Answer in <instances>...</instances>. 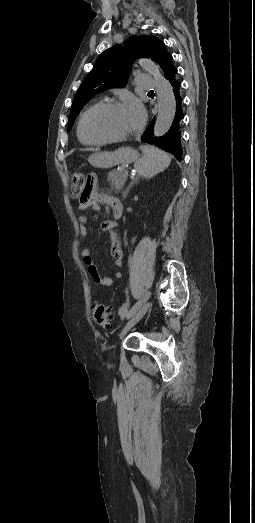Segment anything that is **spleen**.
Wrapping results in <instances>:
<instances>
[{
    "label": "spleen",
    "mask_w": 255,
    "mask_h": 523,
    "mask_svg": "<svg viewBox=\"0 0 255 523\" xmlns=\"http://www.w3.org/2000/svg\"><path fill=\"white\" fill-rule=\"evenodd\" d=\"M140 150H142L143 156L134 164L138 176L153 178L170 166L171 158L167 152L154 148V146H140Z\"/></svg>",
    "instance_id": "obj_1"
}]
</instances>
